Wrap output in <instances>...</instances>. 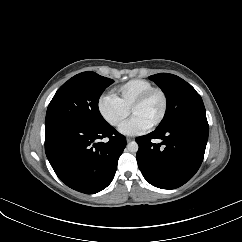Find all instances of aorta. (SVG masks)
Here are the masks:
<instances>
[{"label":"aorta","instance_id":"1","mask_svg":"<svg viewBox=\"0 0 242 242\" xmlns=\"http://www.w3.org/2000/svg\"><path fill=\"white\" fill-rule=\"evenodd\" d=\"M127 149L129 152L135 153L138 151L139 146H138L137 142L133 141V142L128 143Z\"/></svg>","mask_w":242,"mask_h":242}]
</instances>
